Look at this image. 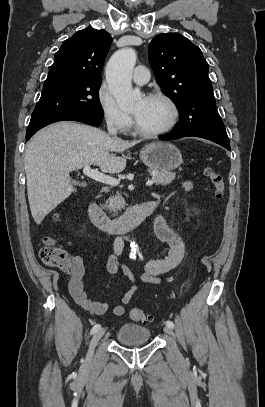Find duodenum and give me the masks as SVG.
I'll return each mask as SVG.
<instances>
[{
    "mask_svg": "<svg viewBox=\"0 0 265 407\" xmlns=\"http://www.w3.org/2000/svg\"><path fill=\"white\" fill-rule=\"evenodd\" d=\"M157 207L158 201H145L130 208L121 218L111 219L96 203L92 202L89 204L88 214L92 223L103 232L122 234L139 226L154 213Z\"/></svg>",
    "mask_w": 265,
    "mask_h": 407,
    "instance_id": "duodenum-1",
    "label": "duodenum"
}]
</instances>
